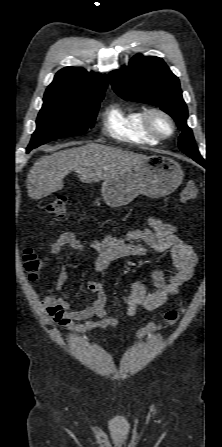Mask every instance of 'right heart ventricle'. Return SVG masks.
Instances as JSON below:
<instances>
[{
    "instance_id": "e07e8e85",
    "label": "right heart ventricle",
    "mask_w": 222,
    "mask_h": 447,
    "mask_svg": "<svg viewBox=\"0 0 222 447\" xmlns=\"http://www.w3.org/2000/svg\"><path fill=\"white\" fill-rule=\"evenodd\" d=\"M143 115L142 108L113 103L103 113L104 130L119 141L156 144L158 139L144 128Z\"/></svg>"
}]
</instances>
